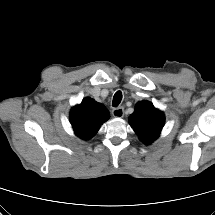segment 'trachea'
<instances>
[{
    "label": "trachea",
    "instance_id": "obj_1",
    "mask_svg": "<svg viewBox=\"0 0 215 215\" xmlns=\"http://www.w3.org/2000/svg\"><path fill=\"white\" fill-rule=\"evenodd\" d=\"M121 100H122V93L121 91H117L114 94L112 106L117 107L120 104Z\"/></svg>",
    "mask_w": 215,
    "mask_h": 215
}]
</instances>
